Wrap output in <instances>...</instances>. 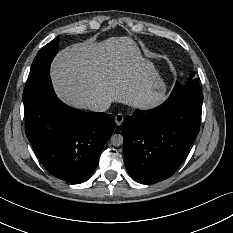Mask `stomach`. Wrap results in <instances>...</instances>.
<instances>
[{"mask_svg":"<svg viewBox=\"0 0 233 233\" xmlns=\"http://www.w3.org/2000/svg\"><path fill=\"white\" fill-rule=\"evenodd\" d=\"M144 67L146 71H153L156 72L153 62L148 59H144ZM152 90L156 91L157 93L161 94L163 98H165V85L162 80L158 77L157 80H152Z\"/></svg>","mask_w":233,"mask_h":233,"instance_id":"stomach-1","label":"stomach"}]
</instances>
